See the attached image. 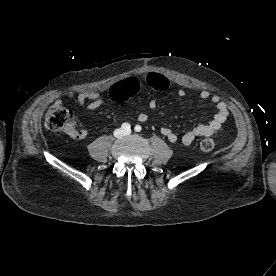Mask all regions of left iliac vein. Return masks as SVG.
I'll list each match as a JSON object with an SVG mask.
<instances>
[{
    "instance_id": "4c4485c4",
    "label": "left iliac vein",
    "mask_w": 276,
    "mask_h": 276,
    "mask_svg": "<svg viewBox=\"0 0 276 276\" xmlns=\"http://www.w3.org/2000/svg\"><path fill=\"white\" fill-rule=\"evenodd\" d=\"M131 133V131L130 130H128V131H125V135H129Z\"/></svg>"
}]
</instances>
